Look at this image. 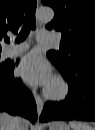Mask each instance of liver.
<instances>
[{
	"mask_svg": "<svg viewBox=\"0 0 95 130\" xmlns=\"http://www.w3.org/2000/svg\"><path fill=\"white\" fill-rule=\"evenodd\" d=\"M16 122L14 117L6 112L0 113V130H16ZM20 130H28V121L21 119Z\"/></svg>",
	"mask_w": 95,
	"mask_h": 130,
	"instance_id": "6515ba94",
	"label": "liver"
}]
</instances>
